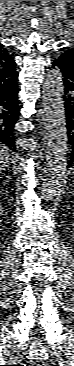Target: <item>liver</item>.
<instances>
[{
  "label": "liver",
  "instance_id": "1",
  "mask_svg": "<svg viewBox=\"0 0 74 366\" xmlns=\"http://www.w3.org/2000/svg\"><path fill=\"white\" fill-rule=\"evenodd\" d=\"M11 156V151L7 146H4L1 144L0 146V167H5L6 164H8V161Z\"/></svg>",
  "mask_w": 74,
  "mask_h": 366
}]
</instances>
